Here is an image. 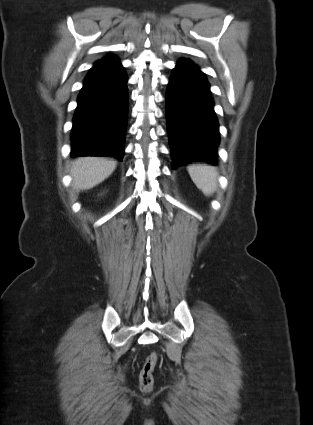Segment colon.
Listing matches in <instances>:
<instances>
[{"label": "colon", "instance_id": "5ec220e1", "mask_svg": "<svg viewBox=\"0 0 313 425\" xmlns=\"http://www.w3.org/2000/svg\"><path fill=\"white\" fill-rule=\"evenodd\" d=\"M158 355L156 352L150 353L143 363L139 374L140 388L144 392H150L154 385V371L157 366Z\"/></svg>", "mask_w": 313, "mask_h": 425}]
</instances>
